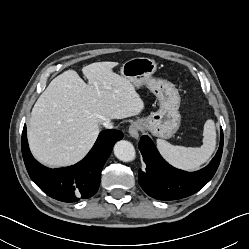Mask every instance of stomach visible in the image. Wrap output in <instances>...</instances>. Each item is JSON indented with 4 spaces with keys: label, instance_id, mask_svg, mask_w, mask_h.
<instances>
[{
    "label": "stomach",
    "instance_id": "0dacf381",
    "mask_svg": "<svg viewBox=\"0 0 249 249\" xmlns=\"http://www.w3.org/2000/svg\"><path fill=\"white\" fill-rule=\"evenodd\" d=\"M156 70L157 64L154 60L136 57L122 65L121 75L135 87L146 85L159 101L158 111L151 112L146 118L137 121L140 127L150 131L156 137L169 139L180 127L179 107L181 99L172 83L153 77Z\"/></svg>",
    "mask_w": 249,
    "mask_h": 249
}]
</instances>
